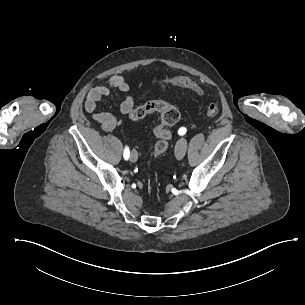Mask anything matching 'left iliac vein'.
<instances>
[{
    "instance_id": "1",
    "label": "left iliac vein",
    "mask_w": 305,
    "mask_h": 305,
    "mask_svg": "<svg viewBox=\"0 0 305 305\" xmlns=\"http://www.w3.org/2000/svg\"><path fill=\"white\" fill-rule=\"evenodd\" d=\"M187 140L185 138H180L175 146V152L177 159H182L186 153Z\"/></svg>"
}]
</instances>
